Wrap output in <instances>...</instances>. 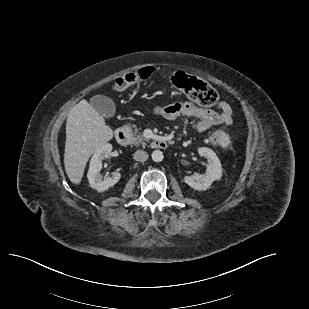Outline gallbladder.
<instances>
[{
  "label": "gallbladder",
  "mask_w": 309,
  "mask_h": 309,
  "mask_svg": "<svg viewBox=\"0 0 309 309\" xmlns=\"http://www.w3.org/2000/svg\"><path fill=\"white\" fill-rule=\"evenodd\" d=\"M91 106L104 117H113L116 107L112 99L104 95H95L90 99Z\"/></svg>",
  "instance_id": "gallbladder-1"
}]
</instances>
